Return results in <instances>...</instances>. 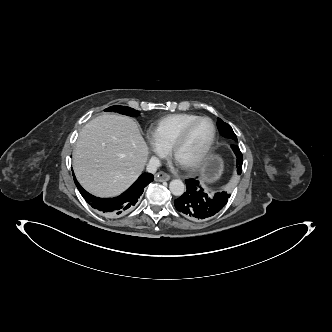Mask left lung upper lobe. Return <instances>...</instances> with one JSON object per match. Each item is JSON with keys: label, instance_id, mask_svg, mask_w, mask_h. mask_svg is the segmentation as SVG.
Here are the masks:
<instances>
[{"label": "left lung upper lobe", "instance_id": "5c2ea615", "mask_svg": "<svg viewBox=\"0 0 332 332\" xmlns=\"http://www.w3.org/2000/svg\"><path fill=\"white\" fill-rule=\"evenodd\" d=\"M217 127L222 136L237 141V137L234 131L232 130L231 126L223 122L220 118H218Z\"/></svg>", "mask_w": 332, "mask_h": 332}]
</instances>
